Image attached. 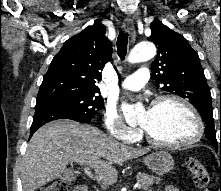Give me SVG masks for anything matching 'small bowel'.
Returning <instances> with one entry per match:
<instances>
[{"label":"small bowel","instance_id":"obj_1","mask_svg":"<svg viewBox=\"0 0 221 191\" xmlns=\"http://www.w3.org/2000/svg\"><path fill=\"white\" fill-rule=\"evenodd\" d=\"M164 191H179L178 189H176L175 187L173 186H167Z\"/></svg>","mask_w":221,"mask_h":191}]
</instances>
